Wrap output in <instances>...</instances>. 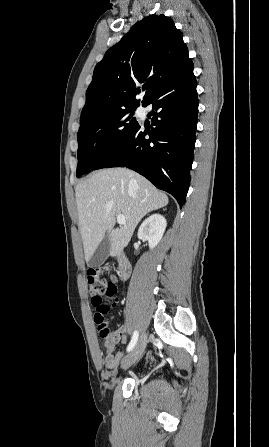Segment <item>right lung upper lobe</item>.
I'll return each mask as SVG.
<instances>
[{
  "mask_svg": "<svg viewBox=\"0 0 269 447\" xmlns=\"http://www.w3.org/2000/svg\"><path fill=\"white\" fill-rule=\"evenodd\" d=\"M191 62L182 33L165 15L136 23L104 55L93 73L81 112L80 127L117 109L140 105L139 83L146 89L142 104L161 85L177 77Z\"/></svg>",
  "mask_w": 269,
  "mask_h": 447,
  "instance_id": "obj_1",
  "label": "right lung upper lobe"
}]
</instances>
